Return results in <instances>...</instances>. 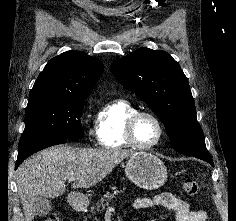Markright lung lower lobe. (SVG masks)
I'll return each mask as SVG.
<instances>
[{"label":"right lung lower lobe","instance_id":"98d812e1","mask_svg":"<svg viewBox=\"0 0 236 221\" xmlns=\"http://www.w3.org/2000/svg\"><path fill=\"white\" fill-rule=\"evenodd\" d=\"M64 142H65L64 140L43 141V142L32 143V144L23 146L22 148H19L15 169H17L19 164L23 162L25 158L34 154L35 152L42 150L44 148L56 145V144L64 143Z\"/></svg>","mask_w":236,"mask_h":221}]
</instances>
